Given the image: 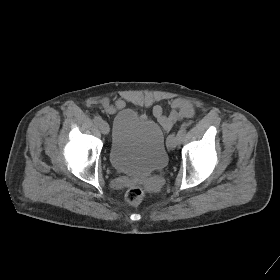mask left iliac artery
<instances>
[{"label":"left iliac artery","instance_id":"44dca946","mask_svg":"<svg viewBox=\"0 0 280 280\" xmlns=\"http://www.w3.org/2000/svg\"><path fill=\"white\" fill-rule=\"evenodd\" d=\"M186 133V126L182 125L177 133V136L180 138V140L184 137Z\"/></svg>","mask_w":280,"mask_h":280}]
</instances>
